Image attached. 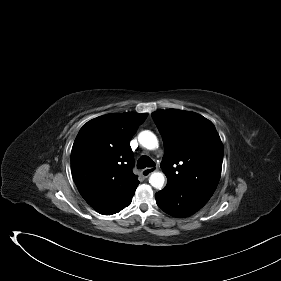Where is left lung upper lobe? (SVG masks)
<instances>
[{"label":"left lung upper lobe","instance_id":"obj_1","mask_svg":"<svg viewBox=\"0 0 281 281\" xmlns=\"http://www.w3.org/2000/svg\"><path fill=\"white\" fill-rule=\"evenodd\" d=\"M164 142L167 184L212 196L221 176L223 145L211 121L177 109L152 113Z\"/></svg>","mask_w":281,"mask_h":281}]
</instances>
